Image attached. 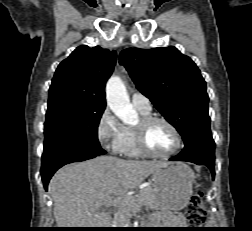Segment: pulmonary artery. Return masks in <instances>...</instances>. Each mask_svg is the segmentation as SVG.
Returning a JSON list of instances; mask_svg holds the SVG:
<instances>
[{
  "label": "pulmonary artery",
  "mask_w": 252,
  "mask_h": 231,
  "mask_svg": "<svg viewBox=\"0 0 252 231\" xmlns=\"http://www.w3.org/2000/svg\"><path fill=\"white\" fill-rule=\"evenodd\" d=\"M132 104L137 109L143 110L145 112L151 111L150 100L139 92H134L132 94Z\"/></svg>",
  "instance_id": "obj_1"
}]
</instances>
